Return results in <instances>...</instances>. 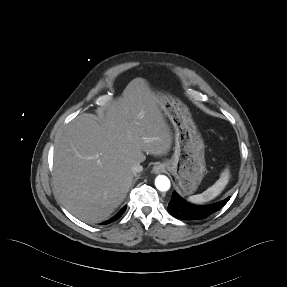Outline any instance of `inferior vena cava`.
I'll use <instances>...</instances> for the list:
<instances>
[{
	"label": "inferior vena cava",
	"instance_id": "1",
	"mask_svg": "<svg viewBox=\"0 0 287 287\" xmlns=\"http://www.w3.org/2000/svg\"><path fill=\"white\" fill-rule=\"evenodd\" d=\"M131 169L133 173H139L143 170V167L140 165V163H135L132 165Z\"/></svg>",
	"mask_w": 287,
	"mask_h": 287
}]
</instances>
